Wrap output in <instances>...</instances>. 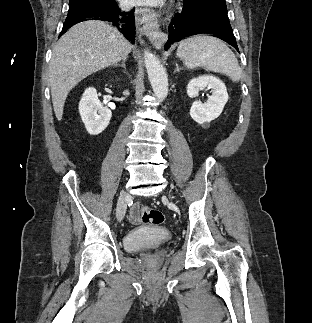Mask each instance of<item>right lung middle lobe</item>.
I'll use <instances>...</instances> for the list:
<instances>
[{"instance_id": "dd1d6c3e", "label": "right lung middle lobe", "mask_w": 312, "mask_h": 323, "mask_svg": "<svg viewBox=\"0 0 312 323\" xmlns=\"http://www.w3.org/2000/svg\"><path fill=\"white\" fill-rule=\"evenodd\" d=\"M114 1L115 0H70L69 11H72L77 8L96 6L106 2H114Z\"/></svg>"}]
</instances>
